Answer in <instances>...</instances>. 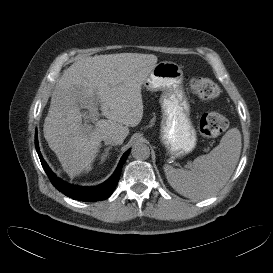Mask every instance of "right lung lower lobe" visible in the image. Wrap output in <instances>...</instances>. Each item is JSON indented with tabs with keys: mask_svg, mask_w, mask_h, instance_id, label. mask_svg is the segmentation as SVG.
I'll use <instances>...</instances> for the list:
<instances>
[{
	"mask_svg": "<svg viewBox=\"0 0 273 273\" xmlns=\"http://www.w3.org/2000/svg\"><path fill=\"white\" fill-rule=\"evenodd\" d=\"M35 146H36V150L39 155L41 164L45 172L47 173L50 181L55 186V188L58 189L60 192H62L64 195L72 199L87 201V202L101 201L108 198L112 194V192L114 191L119 181L122 166L125 163L130 152V150H128L124 153L115 172L107 181L95 187H79V186L68 184L67 182L58 178L51 171V169L49 168V166L47 165V163L45 162V160L43 159L40 153L39 146H38L37 133L35 134Z\"/></svg>",
	"mask_w": 273,
	"mask_h": 273,
	"instance_id": "obj_1",
	"label": "right lung lower lobe"
}]
</instances>
